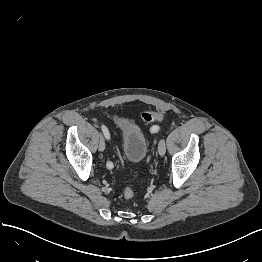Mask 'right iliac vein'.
I'll return each instance as SVG.
<instances>
[{
	"mask_svg": "<svg viewBox=\"0 0 262 262\" xmlns=\"http://www.w3.org/2000/svg\"><path fill=\"white\" fill-rule=\"evenodd\" d=\"M105 148H106V145H105V139H104L103 136H100L98 149H99V151H104Z\"/></svg>",
	"mask_w": 262,
	"mask_h": 262,
	"instance_id": "1",
	"label": "right iliac vein"
}]
</instances>
